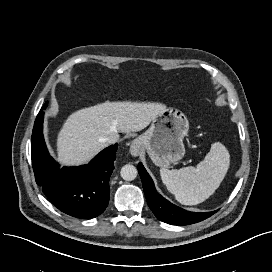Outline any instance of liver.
I'll return each mask as SVG.
<instances>
[{
	"mask_svg": "<svg viewBox=\"0 0 272 272\" xmlns=\"http://www.w3.org/2000/svg\"><path fill=\"white\" fill-rule=\"evenodd\" d=\"M166 106L160 103L105 101L73 112L57 136V159L62 165H81L107 146L111 133L146 128Z\"/></svg>",
	"mask_w": 272,
	"mask_h": 272,
	"instance_id": "1",
	"label": "liver"
}]
</instances>
